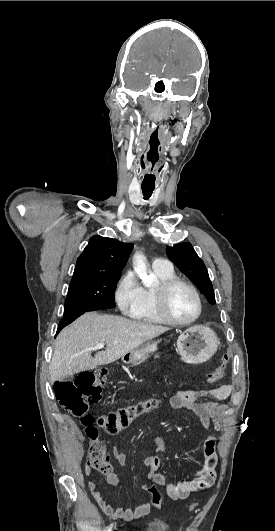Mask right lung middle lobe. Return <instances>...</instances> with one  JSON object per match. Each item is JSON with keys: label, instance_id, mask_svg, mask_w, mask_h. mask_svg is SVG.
Returning a JSON list of instances; mask_svg holds the SVG:
<instances>
[{"label": "right lung middle lobe", "instance_id": "right-lung-middle-lobe-1", "mask_svg": "<svg viewBox=\"0 0 275 531\" xmlns=\"http://www.w3.org/2000/svg\"><path fill=\"white\" fill-rule=\"evenodd\" d=\"M121 274L73 277L65 300L64 316L115 307L114 292Z\"/></svg>", "mask_w": 275, "mask_h": 531}]
</instances>
